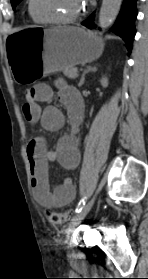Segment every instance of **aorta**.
I'll list each match as a JSON object with an SVG mask.
<instances>
[{"mask_svg": "<svg viewBox=\"0 0 148 279\" xmlns=\"http://www.w3.org/2000/svg\"><path fill=\"white\" fill-rule=\"evenodd\" d=\"M122 0H103L99 12L98 25L102 29L109 27L118 15Z\"/></svg>", "mask_w": 148, "mask_h": 279, "instance_id": "1", "label": "aorta"}]
</instances>
